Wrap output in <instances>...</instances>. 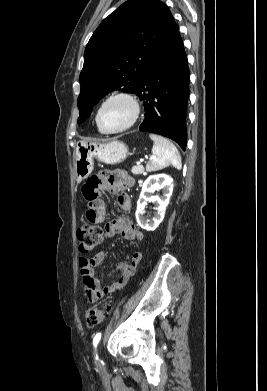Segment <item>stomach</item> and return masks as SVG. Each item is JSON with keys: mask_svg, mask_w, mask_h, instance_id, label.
<instances>
[{"mask_svg": "<svg viewBox=\"0 0 267 391\" xmlns=\"http://www.w3.org/2000/svg\"><path fill=\"white\" fill-rule=\"evenodd\" d=\"M128 146L119 140L108 142L79 141L74 151V167L77 181L87 178L94 169V159L115 165L129 156Z\"/></svg>", "mask_w": 267, "mask_h": 391, "instance_id": "1", "label": "stomach"}]
</instances>
